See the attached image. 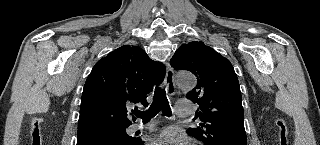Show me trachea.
<instances>
[{
  "label": "trachea",
  "mask_w": 320,
  "mask_h": 145,
  "mask_svg": "<svg viewBox=\"0 0 320 145\" xmlns=\"http://www.w3.org/2000/svg\"><path fill=\"white\" fill-rule=\"evenodd\" d=\"M162 111L165 116H171V108L166 96V92L162 88H156L154 92L153 102L148 110L135 111L134 115L142 118L144 122L150 121L159 111Z\"/></svg>",
  "instance_id": "trachea-1"
}]
</instances>
